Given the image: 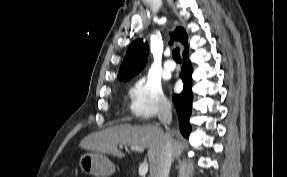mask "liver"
Masks as SVG:
<instances>
[{
    "label": "liver",
    "mask_w": 287,
    "mask_h": 177,
    "mask_svg": "<svg viewBox=\"0 0 287 177\" xmlns=\"http://www.w3.org/2000/svg\"><path fill=\"white\" fill-rule=\"evenodd\" d=\"M166 140L164 132L157 126L120 124L86 136L81 140L80 147L119 158L125 157V154L118 149V145L146 148L150 177H154ZM182 151L183 145L177 140H172L173 158L177 159Z\"/></svg>",
    "instance_id": "1"
}]
</instances>
